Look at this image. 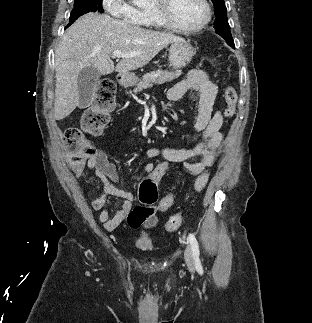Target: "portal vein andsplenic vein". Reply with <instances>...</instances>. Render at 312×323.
<instances>
[{"mask_svg":"<svg viewBox=\"0 0 312 323\" xmlns=\"http://www.w3.org/2000/svg\"><path fill=\"white\" fill-rule=\"evenodd\" d=\"M113 58H132V56H136V54H122L119 50H115L112 54Z\"/></svg>","mask_w":312,"mask_h":323,"instance_id":"1","label":"portal vein and splenic vein"}]
</instances>
